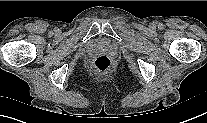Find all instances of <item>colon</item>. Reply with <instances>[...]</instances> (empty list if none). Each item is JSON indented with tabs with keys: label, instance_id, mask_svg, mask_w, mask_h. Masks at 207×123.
<instances>
[{
	"label": "colon",
	"instance_id": "obj_1",
	"mask_svg": "<svg viewBox=\"0 0 207 123\" xmlns=\"http://www.w3.org/2000/svg\"><path fill=\"white\" fill-rule=\"evenodd\" d=\"M92 67L97 72L106 73L111 70L112 62L107 56H99L93 61Z\"/></svg>",
	"mask_w": 207,
	"mask_h": 123
}]
</instances>
